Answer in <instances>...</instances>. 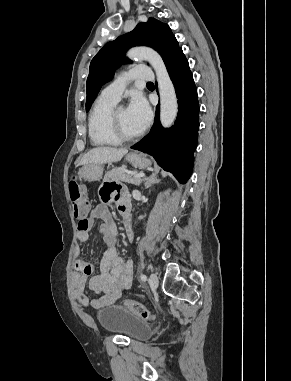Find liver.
Listing matches in <instances>:
<instances>
[{"label": "liver", "instance_id": "1", "mask_svg": "<svg viewBox=\"0 0 291 381\" xmlns=\"http://www.w3.org/2000/svg\"><path fill=\"white\" fill-rule=\"evenodd\" d=\"M125 148L117 149L113 147H96L88 151L78 163L79 165L87 164H106L116 162L122 159L127 154Z\"/></svg>", "mask_w": 291, "mask_h": 381}]
</instances>
